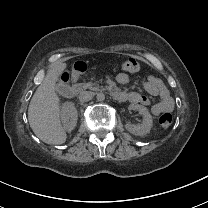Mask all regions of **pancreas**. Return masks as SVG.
<instances>
[{"instance_id":"cf45deb5","label":"pancreas","mask_w":208,"mask_h":208,"mask_svg":"<svg viewBox=\"0 0 208 208\" xmlns=\"http://www.w3.org/2000/svg\"><path fill=\"white\" fill-rule=\"evenodd\" d=\"M84 89H90L92 91H100V90H107V88H103L101 85H99L97 82H89V83H83L82 84Z\"/></svg>"}]
</instances>
